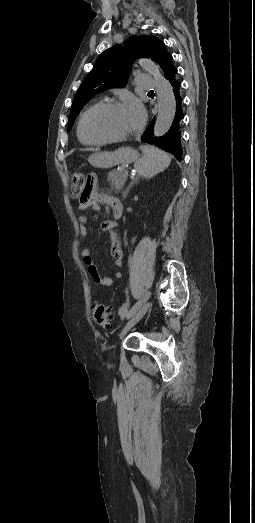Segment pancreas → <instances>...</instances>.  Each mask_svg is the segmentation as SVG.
Instances as JSON below:
<instances>
[{"instance_id": "obj_1", "label": "pancreas", "mask_w": 255, "mask_h": 523, "mask_svg": "<svg viewBox=\"0 0 255 523\" xmlns=\"http://www.w3.org/2000/svg\"><path fill=\"white\" fill-rule=\"evenodd\" d=\"M127 176L128 175H125L124 170H113V172H109L108 180L115 194H118V192L122 190L123 186H125Z\"/></svg>"}]
</instances>
